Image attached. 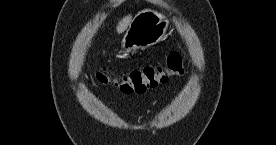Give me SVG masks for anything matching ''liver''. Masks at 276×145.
I'll return each instance as SVG.
<instances>
[{
	"label": "liver",
	"instance_id": "6515ba94",
	"mask_svg": "<svg viewBox=\"0 0 276 145\" xmlns=\"http://www.w3.org/2000/svg\"><path fill=\"white\" fill-rule=\"evenodd\" d=\"M131 21H132L131 15H127L121 21H119V23L116 27L117 33L120 34V33H123L124 31H126L129 27Z\"/></svg>",
	"mask_w": 276,
	"mask_h": 145
}]
</instances>
